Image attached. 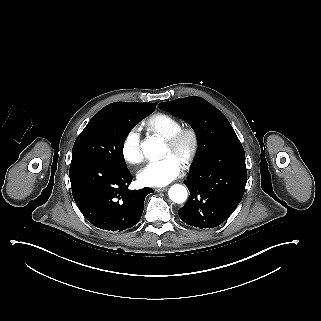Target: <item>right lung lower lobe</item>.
I'll return each mask as SVG.
<instances>
[{"mask_svg": "<svg viewBox=\"0 0 321 321\" xmlns=\"http://www.w3.org/2000/svg\"><path fill=\"white\" fill-rule=\"evenodd\" d=\"M70 181L73 198L86 219L109 231L133 227L141 218L151 188L128 190L132 176L127 168L91 160L72 161Z\"/></svg>", "mask_w": 321, "mask_h": 321, "instance_id": "obj_1", "label": "right lung lower lobe"}]
</instances>
